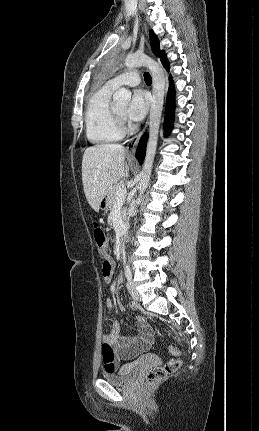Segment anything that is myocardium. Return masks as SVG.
Returning a JSON list of instances; mask_svg holds the SVG:
<instances>
[{
    "mask_svg": "<svg viewBox=\"0 0 259 431\" xmlns=\"http://www.w3.org/2000/svg\"><path fill=\"white\" fill-rule=\"evenodd\" d=\"M113 113H114L117 127L122 133H125V132H128L129 130H131V127L127 124V122L125 121L124 116L122 114L117 112L116 109H114V108H113Z\"/></svg>",
    "mask_w": 259,
    "mask_h": 431,
    "instance_id": "f54148a6",
    "label": "myocardium"
}]
</instances>
